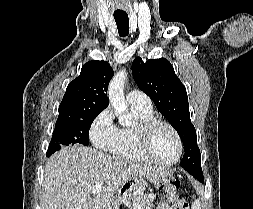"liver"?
Masks as SVG:
<instances>
[{"label": "liver", "instance_id": "1", "mask_svg": "<svg viewBox=\"0 0 253 209\" xmlns=\"http://www.w3.org/2000/svg\"><path fill=\"white\" fill-rule=\"evenodd\" d=\"M172 173L164 168L111 157L95 149L74 145L62 147L45 164L42 209H111L120 188L156 182ZM105 184L95 193V184Z\"/></svg>", "mask_w": 253, "mask_h": 209}]
</instances>
